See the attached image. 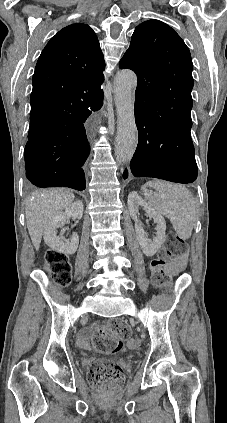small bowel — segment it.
Returning a JSON list of instances; mask_svg holds the SVG:
<instances>
[{
    "label": "small bowel",
    "mask_w": 227,
    "mask_h": 423,
    "mask_svg": "<svg viewBox=\"0 0 227 423\" xmlns=\"http://www.w3.org/2000/svg\"><path fill=\"white\" fill-rule=\"evenodd\" d=\"M177 268H181L182 266H183V261L182 260H179V262H177V264L175 265ZM86 334H87V332L86 331H84L82 334H81V337H80V339H79V342H80V344H82V345H85L86 344Z\"/></svg>",
    "instance_id": "c3829d8e"
}]
</instances>
